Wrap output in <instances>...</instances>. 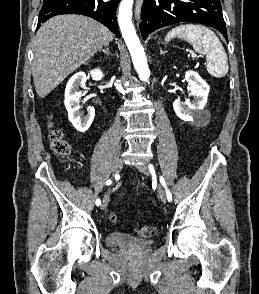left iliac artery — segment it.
Instances as JSON below:
<instances>
[{
  "mask_svg": "<svg viewBox=\"0 0 259 294\" xmlns=\"http://www.w3.org/2000/svg\"><path fill=\"white\" fill-rule=\"evenodd\" d=\"M149 169H150V171H152L153 170V166L152 165H149ZM160 182H161L162 186L166 190V196H167L168 201L169 202L172 201V194H171L170 190L168 189V187L166 185L165 179L162 176H160Z\"/></svg>",
  "mask_w": 259,
  "mask_h": 294,
  "instance_id": "left-iliac-artery-1",
  "label": "left iliac artery"
}]
</instances>
